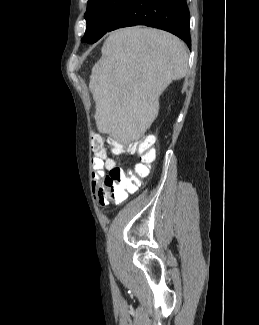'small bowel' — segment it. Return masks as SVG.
I'll use <instances>...</instances> for the list:
<instances>
[{
	"label": "small bowel",
	"instance_id": "c3829d8e",
	"mask_svg": "<svg viewBox=\"0 0 259 325\" xmlns=\"http://www.w3.org/2000/svg\"><path fill=\"white\" fill-rule=\"evenodd\" d=\"M113 166H114V161L107 158L106 156L103 159H100L97 156H95L94 159L92 160V180H93L92 186L97 195V200L102 206L107 205L108 202H106L99 196L101 178L105 174V169H110Z\"/></svg>",
	"mask_w": 259,
	"mask_h": 325
}]
</instances>
